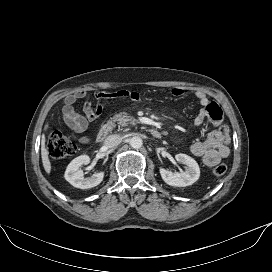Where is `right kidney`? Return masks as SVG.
<instances>
[{"label":"right kidney","mask_w":272,"mask_h":272,"mask_svg":"<svg viewBox=\"0 0 272 272\" xmlns=\"http://www.w3.org/2000/svg\"><path fill=\"white\" fill-rule=\"evenodd\" d=\"M90 162L88 155H81L73 159L66 168L64 177L74 187L80 189H90L99 185L103 178L104 172H98L91 177H84V173L79 168L82 165H87Z\"/></svg>","instance_id":"right-kidney-1"}]
</instances>
